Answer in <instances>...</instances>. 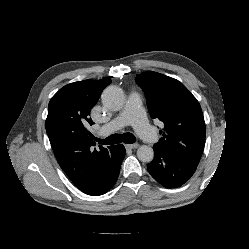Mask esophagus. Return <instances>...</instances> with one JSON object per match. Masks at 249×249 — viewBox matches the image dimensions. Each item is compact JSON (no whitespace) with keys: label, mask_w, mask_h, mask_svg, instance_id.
<instances>
[{"label":"esophagus","mask_w":249,"mask_h":249,"mask_svg":"<svg viewBox=\"0 0 249 249\" xmlns=\"http://www.w3.org/2000/svg\"><path fill=\"white\" fill-rule=\"evenodd\" d=\"M139 147V144L138 143H134V144H125V148L127 149V150H129V149H136V148H138Z\"/></svg>","instance_id":"obj_1"}]
</instances>
